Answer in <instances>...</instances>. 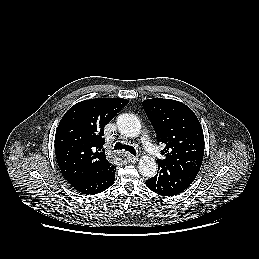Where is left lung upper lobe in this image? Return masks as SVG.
Here are the masks:
<instances>
[{
  "mask_svg": "<svg viewBox=\"0 0 259 259\" xmlns=\"http://www.w3.org/2000/svg\"><path fill=\"white\" fill-rule=\"evenodd\" d=\"M158 142L166 146L161 151V164L190 183L196 178L204 155V135L194 112L185 104L171 99L154 98L143 101Z\"/></svg>",
  "mask_w": 259,
  "mask_h": 259,
  "instance_id": "obj_1",
  "label": "left lung upper lobe"
}]
</instances>
